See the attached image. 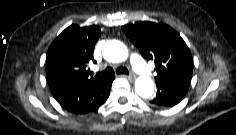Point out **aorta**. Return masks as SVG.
<instances>
[{"label":"aorta","instance_id":"1","mask_svg":"<svg viewBox=\"0 0 236 135\" xmlns=\"http://www.w3.org/2000/svg\"><path fill=\"white\" fill-rule=\"evenodd\" d=\"M103 56L109 62H123L128 58V49L122 42L111 40L104 45ZM135 90L139 96L150 98L154 93V83L149 77H138L135 81Z\"/></svg>","mask_w":236,"mask_h":135}]
</instances>
